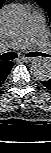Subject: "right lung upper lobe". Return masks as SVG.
<instances>
[{"mask_svg": "<svg viewBox=\"0 0 51 153\" xmlns=\"http://www.w3.org/2000/svg\"><path fill=\"white\" fill-rule=\"evenodd\" d=\"M5 0H0V8ZM7 62H0V70L6 66Z\"/></svg>", "mask_w": 51, "mask_h": 153, "instance_id": "obj_1", "label": "right lung upper lobe"}]
</instances>
